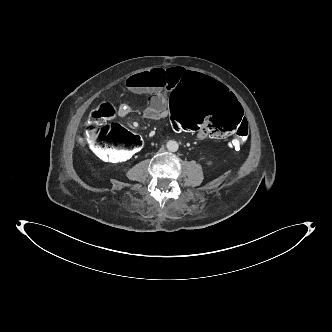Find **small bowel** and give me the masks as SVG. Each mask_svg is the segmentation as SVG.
Instances as JSON below:
<instances>
[{"label":"small bowel","mask_w":332,"mask_h":332,"mask_svg":"<svg viewBox=\"0 0 332 332\" xmlns=\"http://www.w3.org/2000/svg\"><path fill=\"white\" fill-rule=\"evenodd\" d=\"M184 73V70L180 68H154L129 77L126 80V87L132 93L149 94L150 98L145 107L144 116L148 120H160L167 117L166 108L169 95L180 79L184 77ZM131 110L129 105L121 104L118 108V115L124 117ZM242 120L243 116L241 122ZM197 137L209 138L199 134Z\"/></svg>","instance_id":"obj_1"}]
</instances>
